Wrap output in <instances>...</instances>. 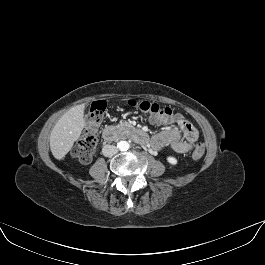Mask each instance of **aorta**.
Instances as JSON below:
<instances>
[{"label":"aorta","instance_id":"762f6f07","mask_svg":"<svg viewBox=\"0 0 265 265\" xmlns=\"http://www.w3.org/2000/svg\"><path fill=\"white\" fill-rule=\"evenodd\" d=\"M130 147V144L127 142V141H119L117 143V148L120 150V151H127Z\"/></svg>","mask_w":265,"mask_h":265}]
</instances>
